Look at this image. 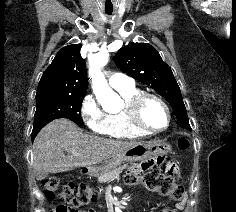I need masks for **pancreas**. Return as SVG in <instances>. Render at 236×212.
I'll use <instances>...</instances> for the list:
<instances>
[{
    "label": "pancreas",
    "mask_w": 236,
    "mask_h": 212,
    "mask_svg": "<svg viewBox=\"0 0 236 212\" xmlns=\"http://www.w3.org/2000/svg\"><path fill=\"white\" fill-rule=\"evenodd\" d=\"M127 165L120 166L118 168H115L113 170H110L98 177V181L100 183H109L115 179H119V174L122 172L123 169H125Z\"/></svg>",
    "instance_id": "pancreas-1"
}]
</instances>
